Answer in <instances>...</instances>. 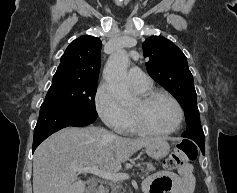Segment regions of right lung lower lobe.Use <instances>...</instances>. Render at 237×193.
<instances>
[{
    "label": "right lung lower lobe",
    "instance_id": "98d812e1",
    "mask_svg": "<svg viewBox=\"0 0 237 193\" xmlns=\"http://www.w3.org/2000/svg\"><path fill=\"white\" fill-rule=\"evenodd\" d=\"M97 117L79 116L65 111L41 108L39 119L34 130L32 151L52 133L68 127H81L93 123Z\"/></svg>",
    "mask_w": 237,
    "mask_h": 193
}]
</instances>
